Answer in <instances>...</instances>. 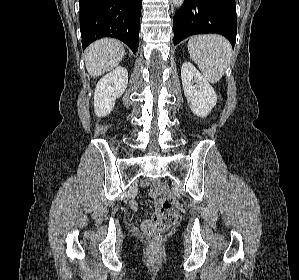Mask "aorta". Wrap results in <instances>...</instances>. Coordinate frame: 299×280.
Here are the masks:
<instances>
[{"label":"aorta","instance_id":"obj_1","mask_svg":"<svg viewBox=\"0 0 299 280\" xmlns=\"http://www.w3.org/2000/svg\"><path fill=\"white\" fill-rule=\"evenodd\" d=\"M175 7L179 8L183 5L184 0H172Z\"/></svg>","mask_w":299,"mask_h":280}]
</instances>
